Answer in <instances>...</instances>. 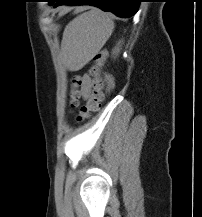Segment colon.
<instances>
[{"mask_svg":"<svg viewBox=\"0 0 202 217\" xmlns=\"http://www.w3.org/2000/svg\"><path fill=\"white\" fill-rule=\"evenodd\" d=\"M107 60V51L102 50L97 52L91 59L92 65L89 73L92 77V91L88 102L80 107L77 120L82 122L90 117L92 112H96L100 109L103 101V88L104 81L101 77V71ZM82 78L80 76H74L70 80V107L75 108L79 105V99L82 96Z\"/></svg>","mask_w":202,"mask_h":217,"instance_id":"5ec220e1","label":"colon"}]
</instances>
